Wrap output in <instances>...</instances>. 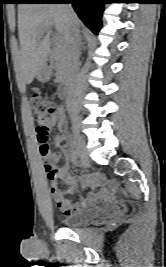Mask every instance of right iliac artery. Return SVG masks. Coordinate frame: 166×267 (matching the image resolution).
<instances>
[{"label":"right iliac artery","mask_w":166,"mask_h":267,"mask_svg":"<svg viewBox=\"0 0 166 267\" xmlns=\"http://www.w3.org/2000/svg\"><path fill=\"white\" fill-rule=\"evenodd\" d=\"M78 157H79V155H78V152H77V150L76 149H74V147L71 149V151H70V159H71V161H72V163L73 164H75V165H77L78 164Z\"/></svg>","instance_id":"82829eb1"}]
</instances>
